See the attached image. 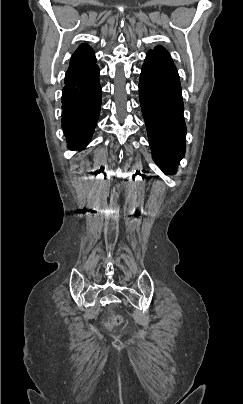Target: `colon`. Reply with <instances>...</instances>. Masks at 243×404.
<instances>
[{"label":"colon","mask_w":243,"mask_h":404,"mask_svg":"<svg viewBox=\"0 0 243 404\" xmlns=\"http://www.w3.org/2000/svg\"><path fill=\"white\" fill-rule=\"evenodd\" d=\"M116 321H119L120 319L118 317L115 318Z\"/></svg>","instance_id":"colon-1"}]
</instances>
